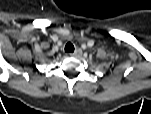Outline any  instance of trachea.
<instances>
[{
	"label": "trachea",
	"instance_id": "3493384b",
	"mask_svg": "<svg viewBox=\"0 0 151 114\" xmlns=\"http://www.w3.org/2000/svg\"><path fill=\"white\" fill-rule=\"evenodd\" d=\"M74 49H75L74 45L70 42L65 45V52H67V53L74 52Z\"/></svg>",
	"mask_w": 151,
	"mask_h": 114
}]
</instances>
